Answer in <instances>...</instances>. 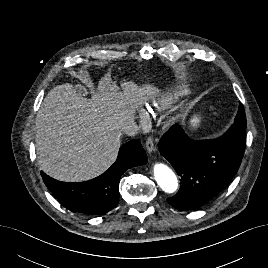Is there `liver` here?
Instances as JSON below:
<instances>
[{
    "mask_svg": "<svg viewBox=\"0 0 268 268\" xmlns=\"http://www.w3.org/2000/svg\"><path fill=\"white\" fill-rule=\"evenodd\" d=\"M118 87L109 75L90 99L66 83L44 98L36 117V153L42 171L63 182H81L104 173L116 160L123 127L156 89L132 81Z\"/></svg>",
    "mask_w": 268,
    "mask_h": 268,
    "instance_id": "6515ba94",
    "label": "liver"
}]
</instances>
